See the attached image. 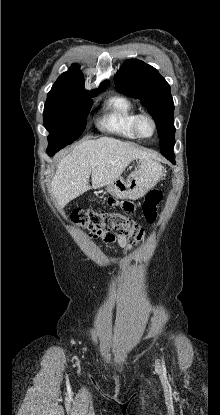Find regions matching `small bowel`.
<instances>
[{"mask_svg": "<svg viewBox=\"0 0 220 415\" xmlns=\"http://www.w3.org/2000/svg\"><path fill=\"white\" fill-rule=\"evenodd\" d=\"M91 236L94 239H102L104 242L108 243V244H117L120 248L124 249L125 251L130 250V245L128 243L127 237L122 234L119 233L117 235L114 234H103L101 236L92 233L91 232Z\"/></svg>", "mask_w": 220, "mask_h": 415, "instance_id": "obj_1", "label": "small bowel"}]
</instances>
